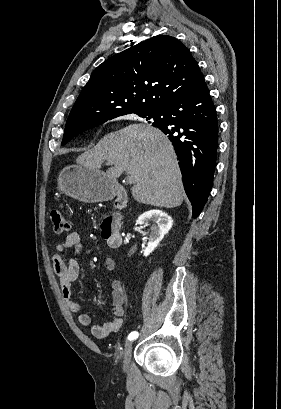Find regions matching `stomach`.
Here are the masks:
<instances>
[{"label": "stomach", "instance_id": "0dacf381", "mask_svg": "<svg viewBox=\"0 0 281 409\" xmlns=\"http://www.w3.org/2000/svg\"><path fill=\"white\" fill-rule=\"evenodd\" d=\"M57 182L59 190L82 202L112 200L119 190L117 180H111L106 172L85 164L65 166Z\"/></svg>", "mask_w": 281, "mask_h": 409}]
</instances>
